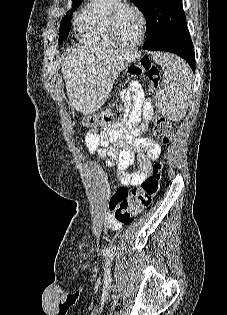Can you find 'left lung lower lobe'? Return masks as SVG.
I'll use <instances>...</instances> for the list:
<instances>
[{
    "mask_svg": "<svg viewBox=\"0 0 227 315\" xmlns=\"http://www.w3.org/2000/svg\"><path fill=\"white\" fill-rule=\"evenodd\" d=\"M143 49L150 51H168L185 59L195 72V54L192 40L185 26L182 29L167 35L162 40L153 44H144Z\"/></svg>",
    "mask_w": 227,
    "mask_h": 315,
    "instance_id": "1",
    "label": "left lung lower lobe"
}]
</instances>
